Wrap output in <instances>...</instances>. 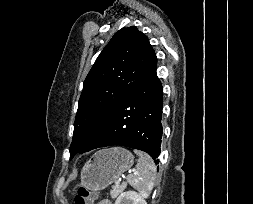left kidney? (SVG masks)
<instances>
[{
  "mask_svg": "<svg viewBox=\"0 0 253 204\" xmlns=\"http://www.w3.org/2000/svg\"><path fill=\"white\" fill-rule=\"evenodd\" d=\"M115 204H147V202L141 194L135 191H127L121 193Z\"/></svg>",
  "mask_w": 253,
  "mask_h": 204,
  "instance_id": "1",
  "label": "left kidney"
}]
</instances>
